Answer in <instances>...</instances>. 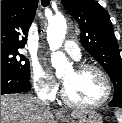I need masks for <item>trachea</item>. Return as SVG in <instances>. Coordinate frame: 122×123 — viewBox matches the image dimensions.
<instances>
[{
    "label": "trachea",
    "mask_w": 122,
    "mask_h": 123,
    "mask_svg": "<svg viewBox=\"0 0 122 123\" xmlns=\"http://www.w3.org/2000/svg\"><path fill=\"white\" fill-rule=\"evenodd\" d=\"M41 4L44 7H47L50 4V0H41Z\"/></svg>",
    "instance_id": "3493384b"
}]
</instances>
